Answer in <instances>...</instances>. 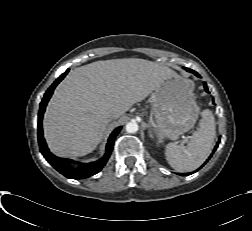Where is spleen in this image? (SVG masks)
Listing matches in <instances>:
<instances>
[{
	"label": "spleen",
	"instance_id": "spleen-1",
	"mask_svg": "<svg viewBox=\"0 0 252 231\" xmlns=\"http://www.w3.org/2000/svg\"><path fill=\"white\" fill-rule=\"evenodd\" d=\"M201 115L199 127L186 146L177 143L166 146V160L176 171L189 172L197 169L211 153L216 136L215 118L208 109Z\"/></svg>",
	"mask_w": 252,
	"mask_h": 231
}]
</instances>
